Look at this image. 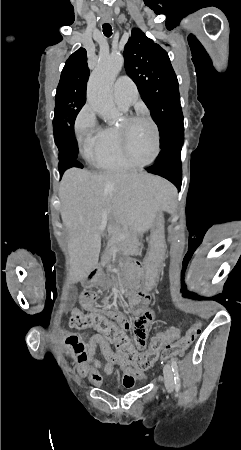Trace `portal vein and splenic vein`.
<instances>
[{"mask_svg":"<svg viewBox=\"0 0 241 450\" xmlns=\"http://www.w3.org/2000/svg\"><path fill=\"white\" fill-rule=\"evenodd\" d=\"M121 233H122V234H126L127 232H126V231H122Z\"/></svg>","mask_w":241,"mask_h":450,"instance_id":"18ae733b","label":"portal vein and splenic vein"}]
</instances>
